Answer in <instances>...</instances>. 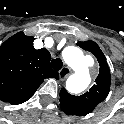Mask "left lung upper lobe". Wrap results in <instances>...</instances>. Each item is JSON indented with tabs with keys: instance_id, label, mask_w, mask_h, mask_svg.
Wrapping results in <instances>:
<instances>
[{
	"instance_id": "5c2ea615",
	"label": "left lung upper lobe",
	"mask_w": 124,
	"mask_h": 124,
	"mask_svg": "<svg viewBox=\"0 0 124 124\" xmlns=\"http://www.w3.org/2000/svg\"><path fill=\"white\" fill-rule=\"evenodd\" d=\"M78 46L91 52L98 60L100 69L95 84L81 96L70 95L64 88L60 92V107L67 115L89 114L109 93L111 75L106 58L94 41L78 42Z\"/></svg>"
}]
</instances>
